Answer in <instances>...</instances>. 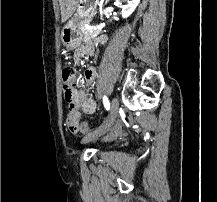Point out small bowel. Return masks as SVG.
Returning a JSON list of instances; mask_svg holds the SVG:
<instances>
[{
	"mask_svg": "<svg viewBox=\"0 0 217 202\" xmlns=\"http://www.w3.org/2000/svg\"><path fill=\"white\" fill-rule=\"evenodd\" d=\"M101 43L105 42V38L102 37L100 39ZM94 53V45L91 42L86 43L78 52L77 56L75 57V62L78 64L80 60L86 56L87 54L92 55ZM96 77V70L94 68H89L84 73V79L86 84H90L94 81ZM83 110L88 114H93L97 110V106L95 101L92 98L86 99L85 106L82 107ZM67 116H76V121H73L77 125L76 131L73 133L81 132V133H90L91 131H80V126H87L86 123L81 122V114L78 109H70L68 111ZM67 120V119H66Z\"/></svg>",
	"mask_w": 217,
	"mask_h": 202,
	"instance_id": "1",
	"label": "small bowel"
}]
</instances>
